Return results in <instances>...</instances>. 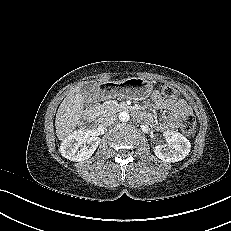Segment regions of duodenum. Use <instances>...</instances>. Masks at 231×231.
I'll return each instance as SVG.
<instances>
[{"label": "duodenum", "mask_w": 231, "mask_h": 231, "mask_svg": "<svg viewBox=\"0 0 231 231\" xmlns=\"http://www.w3.org/2000/svg\"><path fill=\"white\" fill-rule=\"evenodd\" d=\"M104 90V89H103ZM122 109L123 110H129L130 107L128 105H123L122 106ZM96 118V110L94 108V105L93 103L88 107V110H87V119L93 121L94 119Z\"/></svg>", "instance_id": "obj_1"}]
</instances>
